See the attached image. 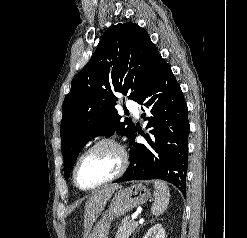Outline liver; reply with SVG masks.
I'll return each mask as SVG.
<instances>
[{"label":"liver","instance_id":"1","mask_svg":"<svg viewBox=\"0 0 247 238\" xmlns=\"http://www.w3.org/2000/svg\"><path fill=\"white\" fill-rule=\"evenodd\" d=\"M121 188L119 185H109L101 190L94 193L86 202L85 204V215H84V222H85V230L86 233H88L97 219V217L100 215V213L103 211L107 201L110 199L112 194L115 190H118Z\"/></svg>","mask_w":247,"mask_h":238}]
</instances>
